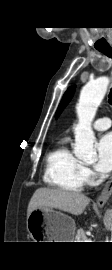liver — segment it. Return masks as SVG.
I'll list each match as a JSON object with an SVG mask.
<instances>
[{
	"label": "liver",
	"instance_id": "obj_1",
	"mask_svg": "<svg viewBox=\"0 0 112 270\" xmlns=\"http://www.w3.org/2000/svg\"><path fill=\"white\" fill-rule=\"evenodd\" d=\"M90 198L79 192L63 189H37L30 199L27 217L37 208H55L73 215H81L89 204Z\"/></svg>",
	"mask_w": 112,
	"mask_h": 270
}]
</instances>
